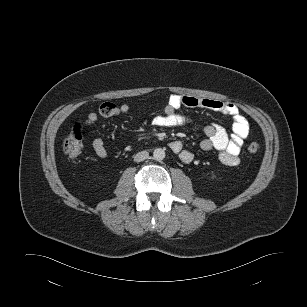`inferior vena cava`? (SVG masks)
<instances>
[{
  "mask_svg": "<svg viewBox=\"0 0 307 307\" xmlns=\"http://www.w3.org/2000/svg\"><path fill=\"white\" fill-rule=\"evenodd\" d=\"M149 157V153L147 151H141L138 152L136 155H134V161L135 162H141L146 160Z\"/></svg>",
  "mask_w": 307,
  "mask_h": 307,
  "instance_id": "602c4592",
  "label": "inferior vena cava"
}]
</instances>
